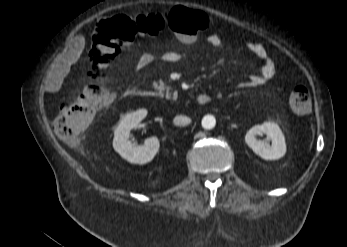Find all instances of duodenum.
Masks as SVG:
<instances>
[{"instance_id": "obj_1", "label": "duodenum", "mask_w": 347, "mask_h": 247, "mask_svg": "<svg viewBox=\"0 0 347 247\" xmlns=\"http://www.w3.org/2000/svg\"><path fill=\"white\" fill-rule=\"evenodd\" d=\"M127 94L129 96L148 97L151 95V91L146 90V89L130 88L127 91ZM209 101H210V96L207 94H200L196 98V102L199 105L207 104V103H209Z\"/></svg>"}]
</instances>
